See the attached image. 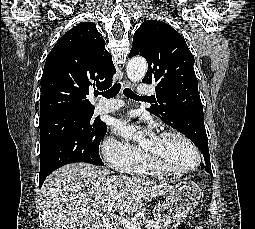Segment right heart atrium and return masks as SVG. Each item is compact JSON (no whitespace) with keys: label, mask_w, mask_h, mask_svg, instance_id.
<instances>
[{"label":"right heart atrium","mask_w":255,"mask_h":229,"mask_svg":"<svg viewBox=\"0 0 255 229\" xmlns=\"http://www.w3.org/2000/svg\"><path fill=\"white\" fill-rule=\"evenodd\" d=\"M101 151L105 161L120 170L140 154L138 148L112 136L103 140Z\"/></svg>","instance_id":"d8ad5b80"}]
</instances>
